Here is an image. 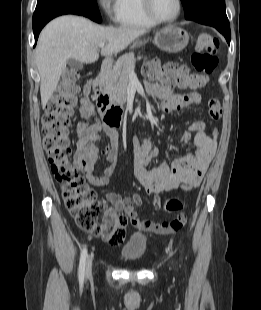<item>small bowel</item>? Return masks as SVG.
<instances>
[{
  "label": "small bowel",
  "instance_id": "obj_1",
  "mask_svg": "<svg viewBox=\"0 0 261 310\" xmlns=\"http://www.w3.org/2000/svg\"><path fill=\"white\" fill-rule=\"evenodd\" d=\"M149 95L161 100L164 111L180 110L188 105H197L201 102V95L197 91L185 94L174 92L169 87L158 83H146ZM90 84L87 83L80 101V114L83 122L76 127L78 138L75 145L73 165L77 171L82 172L85 179L96 186L107 185L115 171L118 160V137L115 131L106 127H99L91 122L93 109L89 101ZM196 147L194 154L174 160L171 164L160 163L153 169L148 165L157 155V147L150 136L143 142L133 140V170L138 182L148 195L153 196V204L160 205L158 195L164 191L177 189L180 185L191 182L197 186L212 160L217 143L216 137L208 136L204 132L203 122H194L182 135V141L188 143L192 139ZM102 138L106 144L101 145ZM99 159L104 160L107 166L101 174H95L94 168ZM106 199L112 204L106 215L124 213L130 218L131 224L141 230L150 231L147 227L151 221L139 219L135 208L142 202L137 193L129 197H122L114 192H107Z\"/></svg>",
  "mask_w": 261,
  "mask_h": 310
}]
</instances>
